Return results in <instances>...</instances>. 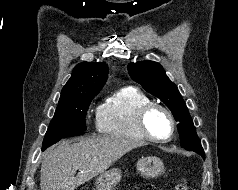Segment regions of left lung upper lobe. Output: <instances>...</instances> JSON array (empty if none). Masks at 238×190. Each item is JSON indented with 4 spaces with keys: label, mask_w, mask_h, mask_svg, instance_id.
Returning a JSON list of instances; mask_svg holds the SVG:
<instances>
[{
    "label": "left lung upper lobe",
    "mask_w": 238,
    "mask_h": 190,
    "mask_svg": "<svg viewBox=\"0 0 238 190\" xmlns=\"http://www.w3.org/2000/svg\"><path fill=\"white\" fill-rule=\"evenodd\" d=\"M128 72L133 80L147 92L159 98L172 111L178 122L181 146L186 150L195 151L205 158L187 106L177 86L167 77L163 67L154 61H141L129 63Z\"/></svg>",
    "instance_id": "1"
}]
</instances>
